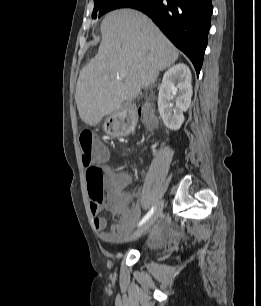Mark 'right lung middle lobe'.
<instances>
[{"instance_id":"right-lung-middle-lobe-1","label":"right lung middle lobe","mask_w":261,"mask_h":306,"mask_svg":"<svg viewBox=\"0 0 261 306\" xmlns=\"http://www.w3.org/2000/svg\"><path fill=\"white\" fill-rule=\"evenodd\" d=\"M140 0H94V10L92 16H102L103 14L122 7H131Z\"/></svg>"}]
</instances>
